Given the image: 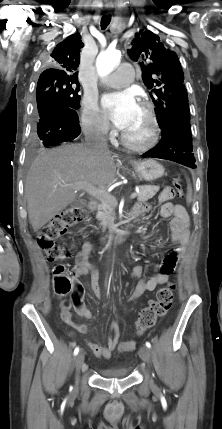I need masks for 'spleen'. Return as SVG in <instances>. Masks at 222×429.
I'll list each match as a JSON object with an SVG mask.
<instances>
[{
	"label": "spleen",
	"mask_w": 222,
	"mask_h": 429,
	"mask_svg": "<svg viewBox=\"0 0 222 429\" xmlns=\"http://www.w3.org/2000/svg\"><path fill=\"white\" fill-rule=\"evenodd\" d=\"M186 198H187V202L190 203L191 200H192V188H191L190 184H188V187H187V196H186Z\"/></svg>",
	"instance_id": "spleen-1"
}]
</instances>
